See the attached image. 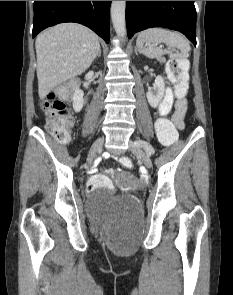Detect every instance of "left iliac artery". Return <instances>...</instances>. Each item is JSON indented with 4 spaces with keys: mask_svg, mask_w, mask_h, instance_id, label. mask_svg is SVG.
<instances>
[{
    "mask_svg": "<svg viewBox=\"0 0 233 295\" xmlns=\"http://www.w3.org/2000/svg\"><path fill=\"white\" fill-rule=\"evenodd\" d=\"M136 143L140 145V147H144V150L147 151V153H152L153 155L156 153L153 149V146L150 145L147 140H138Z\"/></svg>",
    "mask_w": 233,
    "mask_h": 295,
    "instance_id": "obj_1",
    "label": "left iliac artery"
}]
</instances>
